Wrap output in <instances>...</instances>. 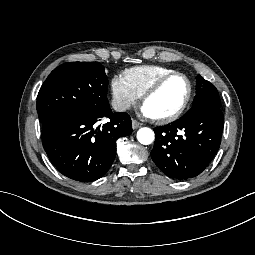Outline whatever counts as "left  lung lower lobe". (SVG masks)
Here are the masks:
<instances>
[{
    "instance_id": "obj_1",
    "label": "left lung lower lobe",
    "mask_w": 255,
    "mask_h": 255,
    "mask_svg": "<svg viewBox=\"0 0 255 255\" xmlns=\"http://www.w3.org/2000/svg\"><path fill=\"white\" fill-rule=\"evenodd\" d=\"M223 125L220 108L195 105L175 122L154 129L152 160L172 179L196 177L207 168L219 149Z\"/></svg>"
}]
</instances>
